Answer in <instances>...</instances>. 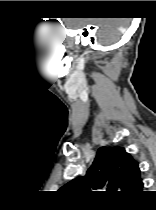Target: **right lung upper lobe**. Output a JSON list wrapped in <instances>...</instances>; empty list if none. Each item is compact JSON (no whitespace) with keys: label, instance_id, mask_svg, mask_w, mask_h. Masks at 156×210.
Wrapping results in <instances>:
<instances>
[{"label":"right lung upper lobe","instance_id":"cb5924a9","mask_svg":"<svg viewBox=\"0 0 156 210\" xmlns=\"http://www.w3.org/2000/svg\"><path fill=\"white\" fill-rule=\"evenodd\" d=\"M62 188L83 193H104L121 199H133L142 192L143 182L138 163L123 147H101L85 176Z\"/></svg>","mask_w":156,"mask_h":210}]
</instances>
